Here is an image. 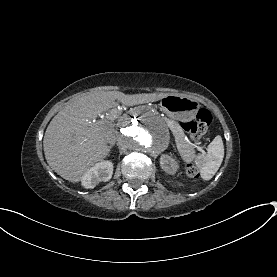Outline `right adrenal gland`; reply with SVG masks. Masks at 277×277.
<instances>
[{
  "label": "right adrenal gland",
  "mask_w": 277,
  "mask_h": 277,
  "mask_svg": "<svg viewBox=\"0 0 277 277\" xmlns=\"http://www.w3.org/2000/svg\"><path fill=\"white\" fill-rule=\"evenodd\" d=\"M115 144H116V142H112L111 145H110V147H111V148L114 147Z\"/></svg>",
  "instance_id": "right-adrenal-gland-1"
}]
</instances>
